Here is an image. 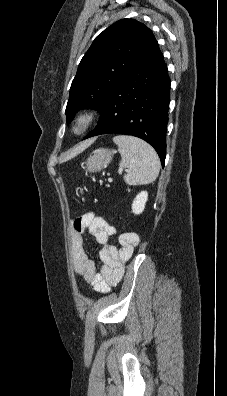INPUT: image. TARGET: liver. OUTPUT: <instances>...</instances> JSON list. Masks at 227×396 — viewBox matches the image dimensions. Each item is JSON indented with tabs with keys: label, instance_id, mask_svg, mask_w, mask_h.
Instances as JSON below:
<instances>
[{
	"label": "liver",
	"instance_id": "6515ba94",
	"mask_svg": "<svg viewBox=\"0 0 227 396\" xmlns=\"http://www.w3.org/2000/svg\"><path fill=\"white\" fill-rule=\"evenodd\" d=\"M91 143H92V140L80 144L78 147H76V148L71 152V154H70V156H69L68 158L74 157V156L77 155L78 153L82 152V151L85 150Z\"/></svg>",
	"mask_w": 227,
	"mask_h": 396
}]
</instances>
